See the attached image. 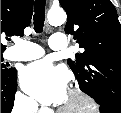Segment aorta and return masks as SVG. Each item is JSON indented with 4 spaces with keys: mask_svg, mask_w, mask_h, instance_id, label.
I'll list each match as a JSON object with an SVG mask.
<instances>
[{
    "mask_svg": "<svg viewBox=\"0 0 121 113\" xmlns=\"http://www.w3.org/2000/svg\"><path fill=\"white\" fill-rule=\"evenodd\" d=\"M47 19L51 25H61L66 20V13L62 9H51L47 14Z\"/></svg>",
    "mask_w": 121,
    "mask_h": 113,
    "instance_id": "aorta-1",
    "label": "aorta"
}]
</instances>
